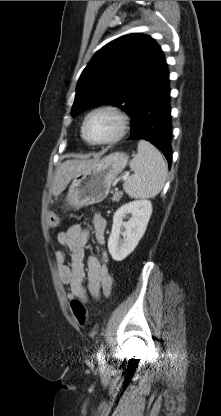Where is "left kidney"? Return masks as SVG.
I'll list each match as a JSON object with an SVG mask.
<instances>
[{"label":"left kidney","mask_w":221,"mask_h":416,"mask_svg":"<svg viewBox=\"0 0 221 416\" xmlns=\"http://www.w3.org/2000/svg\"><path fill=\"white\" fill-rule=\"evenodd\" d=\"M128 214H131V218L123 222ZM151 214L152 204L149 200L126 203L115 212L112 231L108 239V250L115 261L124 260L134 251L146 231ZM122 228L125 231L122 232Z\"/></svg>","instance_id":"1"}]
</instances>
